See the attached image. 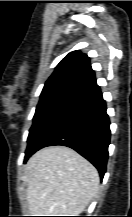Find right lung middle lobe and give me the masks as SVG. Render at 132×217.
Here are the masks:
<instances>
[{
	"label": "right lung middle lobe",
	"mask_w": 132,
	"mask_h": 217,
	"mask_svg": "<svg viewBox=\"0 0 132 217\" xmlns=\"http://www.w3.org/2000/svg\"><path fill=\"white\" fill-rule=\"evenodd\" d=\"M76 98V95L66 92L41 94L33 118V125L29 130L27 149L32 146L55 116Z\"/></svg>",
	"instance_id": "obj_1"
}]
</instances>
